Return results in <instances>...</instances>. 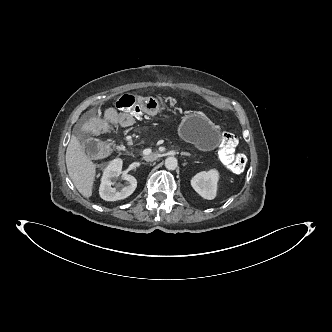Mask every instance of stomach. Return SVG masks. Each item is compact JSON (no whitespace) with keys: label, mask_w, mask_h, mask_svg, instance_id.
Here are the masks:
<instances>
[{"label":"stomach","mask_w":332,"mask_h":332,"mask_svg":"<svg viewBox=\"0 0 332 332\" xmlns=\"http://www.w3.org/2000/svg\"><path fill=\"white\" fill-rule=\"evenodd\" d=\"M179 134L188 142L206 150L217 147L222 139L220 129L200 114L185 115L179 125Z\"/></svg>","instance_id":"stomach-1"}]
</instances>
